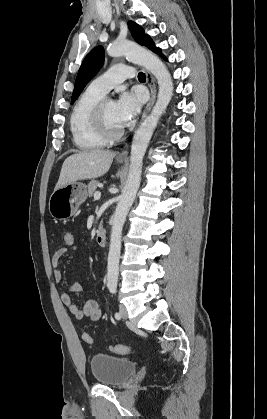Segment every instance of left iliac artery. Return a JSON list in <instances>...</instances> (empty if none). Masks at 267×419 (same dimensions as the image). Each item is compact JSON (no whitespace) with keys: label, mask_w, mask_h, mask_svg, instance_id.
<instances>
[{"label":"left iliac artery","mask_w":267,"mask_h":419,"mask_svg":"<svg viewBox=\"0 0 267 419\" xmlns=\"http://www.w3.org/2000/svg\"><path fill=\"white\" fill-rule=\"evenodd\" d=\"M110 292H111L112 294H114V293L116 292V288H115V287H111V288H110ZM115 318H116L117 320H120V319H121V314H120L119 312H116V313H115Z\"/></svg>","instance_id":"left-iliac-artery-1"}]
</instances>
